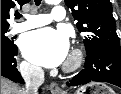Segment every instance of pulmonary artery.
<instances>
[{
  "label": "pulmonary artery",
  "instance_id": "pulmonary-artery-1",
  "mask_svg": "<svg viewBox=\"0 0 121 94\" xmlns=\"http://www.w3.org/2000/svg\"><path fill=\"white\" fill-rule=\"evenodd\" d=\"M66 17V11L63 6H54L50 14H26L25 20L14 24L11 33L16 34L32 28L49 24L51 21H62Z\"/></svg>",
  "mask_w": 121,
  "mask_h": 94
}]
</instances>
